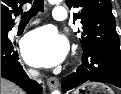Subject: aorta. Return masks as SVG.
Instances as JSON below:
<instances>
[{
	"instance_id": "1",
	"label": "aorta",
	"mask_w": 121,
	"mask_h": 94,
	"mask_svg": "<svg viewBox=\"0 0 121 94\" xmlns=\"http://www.w3.org/2000/svg\"><path fill=\"white\" fill-rule=\"evenodd\" d=\"M62 0H49L50 3L59 4ZM52 94H60L58 90H54Z\"/></svg>"
}]
</instances>
